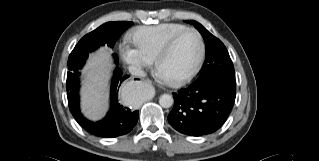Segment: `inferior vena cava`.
<instances>
[{"instance_id": "obj_1", "label": "inferior vena cava", "mask_w": 319, "mask_h": 161, "mask_svg": "<svg viewBox=\"0 0 319 161\" xmlns=\"http://www.w3.org/2000/svg\"><path fill=\"white\" fill-rule=\"evenodd\" d=\"M128 70L132 75L139 76V77L145 76V72L138 66L131 65L128 67Z\"/></svg>"}]
</instances>
